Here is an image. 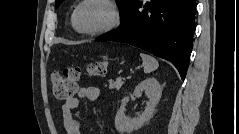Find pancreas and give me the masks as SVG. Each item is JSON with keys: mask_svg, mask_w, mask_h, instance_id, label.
Returning a JSON list of instances; mask_svg holds the SVG:
<instances>
[{"mask_svg": "<svg viewBox=\"0 0 239 134\" xmlns=\"http://www.w3.org/2000/svg\"><path fill=\"white\" fill-rule=\"evenodd\" d=\"M124 84V81H122L121 78H117L116 80H110L109 81V89L110 90H119Z\"/></svg>", "mask_w": 239, "mask_h": 134, "instance_id": "obj_1", "label": "pancreas"}]
</instances>
